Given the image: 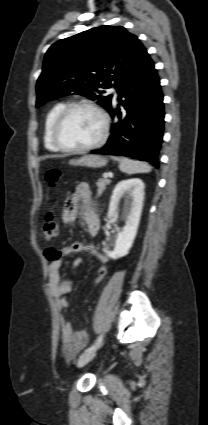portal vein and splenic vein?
Masks as SVG:
<instances>
[{"label": "portal vein and splenic vein", "instance_id": "obj_1", "mask_svg": "<svg viewBox=\"0 0 208 425\" xmlns=\"http://www.w3.org/2000/svg\"><path fill=\"white\" fill-rule=\"evenodd\" d=\"M103 177H104L105 179H107V178H109V177H113V175H109V174H107V173H104V174H103Z\"/></svg>", "mask_w": 208, "mask_h": 425}]
</instances>
